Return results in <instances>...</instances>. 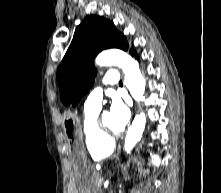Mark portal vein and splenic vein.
<instances>
[{
  "mask_svg": "<svg viewBox=\"0 0 221 193\" xmlns=\"http://www.w3.org/2000/svg\"><path fill=\"white\" fill-rule=\"evenodd\" d=\"M103 182H104V178L101 177V178L99 179V185L102 186Z\"/></svg>",
  "mask_w": 221,
  "mask_h": 193,
  "instance_id": "18ae733b",
  "label": "portal vein and splenic vein"
}]
</instances>
